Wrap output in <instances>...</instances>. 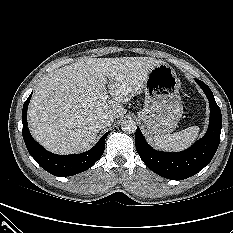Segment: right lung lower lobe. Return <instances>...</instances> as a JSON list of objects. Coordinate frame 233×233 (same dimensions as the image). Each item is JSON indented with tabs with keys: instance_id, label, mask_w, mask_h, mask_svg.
<instances>
[{
	"instance_id": "right-lung-lower-lobe-1",
	"label": "right lung lower lobe",
	"mask_w": 233,
	"mask_h": 233,
	"mask_svg": "<svg viewBox=\"0 0 233 233\" xmlns=\"http://www.w3.org/2000/svg\"><path fill=\"white\" fill-rule=\"evenodd\" d=\"M31 95L25 101L22 110V133L29 154L43 169L55 176H72L92 167L104 152L105 139L109 132L105 133L93 148L82 154H53L38 144L29 132L27 126V107L31 99Z\"/></svg>"
}]
</instances>
